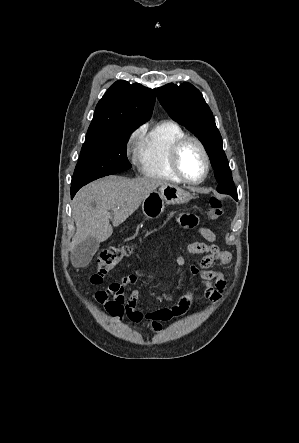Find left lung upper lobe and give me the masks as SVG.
<instances>
[{
    "mask_svg": "<svg viewBox=\"0 0 299 443\" xmlns=\"http://www.w3.org/2000/svg\"><path fill=\"white\" fill-rule=\"evenodd\" d=\"M157 97L168 114L204 145L218 182L217 191L231 196L237 194L220 132L199 90L190 83L180 86L169 83L157 88Z\"/></svg>",
    "mask_w": 299,
    "mask_h": 443,
    "instance_id": "5c2ea615",
    "label": "left lung upper lobe"
}]
</instances>
